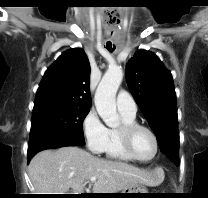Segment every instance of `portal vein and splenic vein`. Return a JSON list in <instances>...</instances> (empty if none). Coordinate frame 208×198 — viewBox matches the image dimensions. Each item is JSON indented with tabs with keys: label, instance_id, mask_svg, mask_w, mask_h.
Returning a JSON list of instances; mask_svg holds the SVG:
<instances>
[{
	"label": "portal vein and splenic vein",
	"instance_id": "1",
	"mask_svg": "<svg viewBox=\"0 0 208 198\" xmlns=\"http://www.w3.org/2000/svg\"><path fill=\"white\" fill-rule=\"evenodd\" d=\"M90 181H91V182H95V181H96V177H91V178H90Z\"/></svg>",
	"mask_w": 208,
	"mask_h": 198
}]
</instances>
